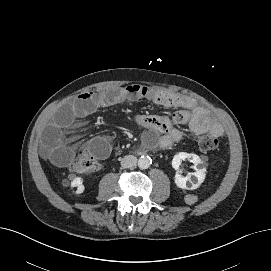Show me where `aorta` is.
<instances>
[{
  "label": "aorta",
  "instance_id": "aorta-1",
  "mask_svg": "<svg viewBox=\"0 0 271 271\" xmlns=\"http://www.w3.org/2000/svg\"><path fill=\"white\" fill-rule=\"evenodd\" d=\"M152 163V159L149 156H141L138 159V167L140 169H147Z\"/></svg>",
  "mask_w": 271,
  "mask_h": 271
}]
</instances>
